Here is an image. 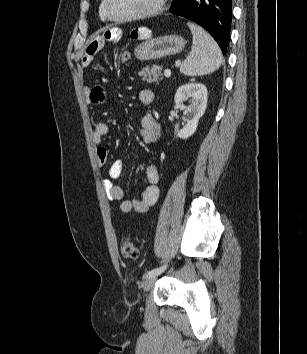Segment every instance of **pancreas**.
Instances as JSON below:
<instances>
[{
    "instance_id": "1",
    "label": "pancreas",
    "mask_w": 307,
    "mask_h": 354,
    "mask_svg": "<svg viewBox=\"0 0 307 354\" xmlns=\"http://www.w3.org/2000/svg\"><path fill=\"white\" fill-rule=\"evenodd\" d=\"M161 70L162 67L160 65H152L151 67L147 66L139 71L138 75L142 78L143 81L147 83L161 81Z\"/></svg>"
}]
</instances>
